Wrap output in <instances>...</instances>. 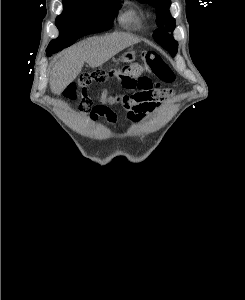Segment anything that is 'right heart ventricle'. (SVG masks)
Masks as SVG:
<instances>
[{
  "mask_svg": "<svg viewBox=\"0 0 245 300\" xmlns=\"http://www.w3.org/2000/svg\"><path fill=\"white\" fill-rule=\"evenodd\" d=\"M121 22L125 25L138 24L139 17L134 10H129L121 17Z\"/></svg>",
  "mask_w": 245,
  "mask_h": 300,
  "instance_id": "obj_1",
  "label": "right heart ventricle"
}]
</instances>
